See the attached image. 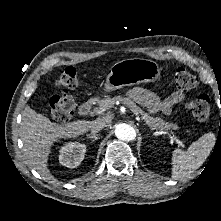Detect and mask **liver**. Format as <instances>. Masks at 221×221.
Listing matches in <instances>:
<instances>
[{
	"mask_svg": "<svg viewBox=\"0 0 221 221\" xmlns=\"http://www.w3.org/2000/svg\"><path fill=\"white\" fill-rule=\"evenodd\" d=\"M112 119L113 115L108 113L94 121L78 120L67 125H60L26 106L22 113L20 130L24 153L29 165L42 176L52 179L53 176L47 167V159L53 143L61 138H72L86 133L98 121L109 126Z\"/></svg>",
	"mask_w": 221,
	"mask_h": 221,
	"instance_id": "liver-1",
	"label": "liver"
}]
</instances>
